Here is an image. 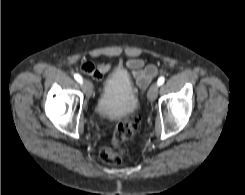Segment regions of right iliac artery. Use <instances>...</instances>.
Listing matches in <instances>:
<instances>
[{
	"label": "right iliac artery",
	"mask_w": 245,
	"mask_h": 195,
	"mask_svg": "<svg viewBox=\"0 0 245 195\" xmlns=\"http://www.w3.org/2000/svg\"><path fill=\"white\" fill-rule=\"evenodd\" d=\"M74 78H75V80L78 82V83H80V84H82L83 83V80H82V77L79 75V74H74Z\"/></svg>",
	"instance_id": "82829eb1"
}]
</instances>
